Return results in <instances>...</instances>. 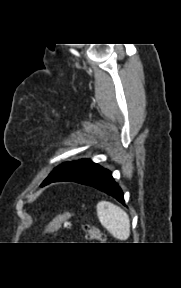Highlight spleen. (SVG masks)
I'll use <instances>...</instances> for the list:
<instances>
[{
	"mask_svg": "<svg viewBox=\"0 0 181 288\" xmlns=\"http://www.w3.org/2000/svg\"><path fill=\"white\" fill-rule=\"evenodd\" d=\"M97 215L100 223L116 239L127 240L129 238L130 220L122 208L108 201H100L97 204Z\"/></svg>",
	"mask_w": 181,
	"mask_h": 288,
	"instance_id": "obj_1",
	"label": "spleen"
}]
</instances>
